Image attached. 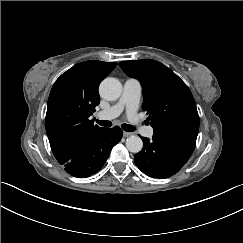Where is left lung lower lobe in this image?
Wrapping results in <instances>:
<instances>
[{
	"label": "left lung lower lobe",
	"mask_w": 243,
	"mask_h": 243,
	"mask_svg": "<svg viewBox=\"0 0 243 243\" xmlns=\"http://www.w3.org/2000/svg\"><path fill=\"white\" fill-rule=\"evenodd\" d=\"M143 149L134 156L137 167L153 178L176 174L190 158L195 140L172 135L154 134L152 140L141 137Z\"/></svg>",
	"instance_id": "1"
}]
</instances>
